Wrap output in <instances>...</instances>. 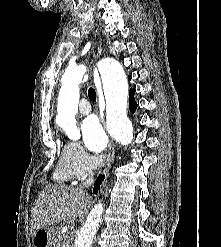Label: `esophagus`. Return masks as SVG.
Instances as JSON below:
<instances>
[{"mask_svg":"<svg viewBox=\"0 0 221 247\" xmlns=\"http://www.w3.org/2000/svg\"><path fill=\"white\" fill-rule=\"evenodd\" d=\"M102 53V47L100 46L98 48V56H100ZM99 101L100 103L103 101V99L99 96ZM114 156H115V145L113 140L111 139L109 142V147L107 154L103 157L104 159V168L106 171H108L114 161Z\"/></svg>","mask_w":221,"mask_h":247,"instance_id":"1","label":"esophagus"}]
</instances>
